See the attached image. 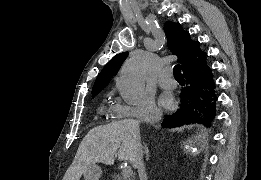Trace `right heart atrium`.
I'll use <instances>...</instances> for the list:
<instances>
[{
    "instance_id": "obj_1",
    "label": "right heart atrium",
    "mask_w": 261,
    "mask_h": 180,
    "mask_svg": "<svg viewBox=\"0 0 261 180\" xmlns=\"http://www.w3.org/2000/svg\"><path fill=\"white\" fill-rule=\"evenodd\" d=\"M149 114L159 115V110L154 104L153 97L147 95V98H143L142 105H135L133 107H125L114 114L113 118L117 117H147ZM112 127L111 123L109 125Z\"/></svg>"
}]
</instances>
